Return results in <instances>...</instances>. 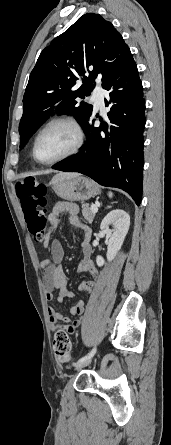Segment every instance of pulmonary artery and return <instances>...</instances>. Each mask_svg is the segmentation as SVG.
Segmentation results:
<instances>
[{
    "instance_id": "obj_1",
    "label": "pulmonary artery",
    "mask_w": 171,
    "mask_h": 445,
    "mask_svg": "<svg viewBox=\"0 0 171 445\" xmlns=\"http://www.w3.org/2000/svg\"><path fill=\"white\" fill-rule=\"evenodd\" d=\"M92 100L96 107L103 108L104 107V92L101 89H96L93 92Z\"/></svg>"
}]
</instances>
